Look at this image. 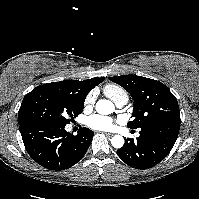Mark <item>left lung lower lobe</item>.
Returning a JSON list of instances; mask_svg holds the SVG:
<instances>
[{"label": "left lung lower lobe", "mask_w": 199, "mask_h": 199, "mask_svg": "<svg viewBox=\"0 0 199 199\" xmlns=\"http://www.w3.org/2000/svg\"><path fill=\"white\" fill-rule=\"evenodd\" d=\"M180 129V118L159 120L141 128L136 140L125 139L117 150L118 156L129 166L147 169L160 163L171 151Z\"/></svg>", "instance_id": "0a47b994"}]
</instances>
